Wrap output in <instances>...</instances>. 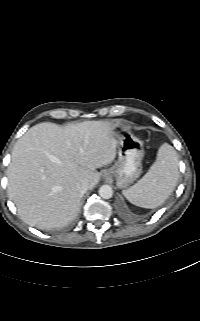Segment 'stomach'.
Segmentation results:
<instances>
[{
	"label": "stomach",
	"mask_w": 200,
	"mask_h": 321,
	"mask_svg": "<svg viewBox=\"0 0 200 321\" xmlns=\"http://www.w3.org/2000/svg\"><path fill=\"white\" fill-rule=\"evenodd\" d=\"M114 131L118 141V160L105 171L104 177H114L117 187L125 189L140 177L145 151L143 143L130 129L115 125Z\"/></svg>",
	"instance_id": "obj_1"
}]
</instances>
